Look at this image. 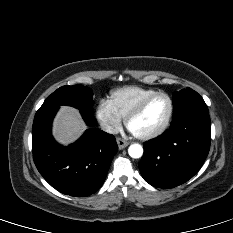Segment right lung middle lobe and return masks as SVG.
Returning <instances> with one entry per match:
<instances>
[{"instance_id":"1","label":"right lung middle lobe","mask_w":233,"mask_h":233,"mask_svg":"<svg viewBox=\"0 0 233 233\" xmlns=\"http://www.w3.org/2000/svg\"><path fill=\"white\" fill-rule=\"evenodd\" d=\"M92 90L83 85L63 86L53 92L42 104L39 110L59 107L60 105L73 106L80 111L93 113Z\"/></svg>"}]
</instances>
